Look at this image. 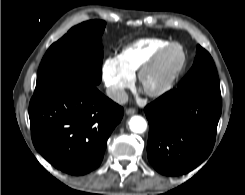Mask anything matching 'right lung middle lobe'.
Instances as JSON below:
<instances>
[{
    "label": "right lung middle lobe",
    "instance_id": "dd1d6c3e",
    "mask_svg": "<svg viewBox=\"0 0 245 195\" xmlns=\"http://www.w3.org/2000/svg\"><path fill=\"white\" fill-rule=\"evenodd\" d=\"M105 26L101 20L83 22L52 44L39 66L34 95L72 83L99 84L103 60L100 37Z\"/></svg>",
    "mask_w": 245,
    "mask_h": 195
}]
</instances>
